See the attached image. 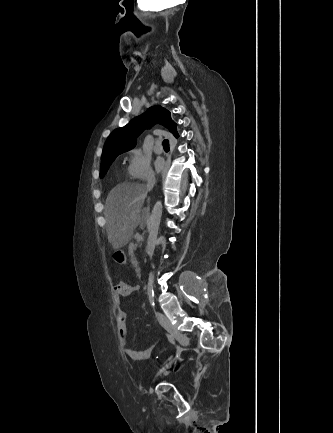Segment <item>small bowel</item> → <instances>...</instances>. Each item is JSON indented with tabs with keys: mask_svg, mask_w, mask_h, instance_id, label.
Returning a JSON list of instances; mask_svg holds the SVG:
<instances>
[{
	"mask_svg": "<svg viewBox=\"0 0 333 433\" xmlns=\"http://www.w3.org/2000/svg\"><path fill=\"white\" fill-rule=\"evenodd\" d=\"M138 290L139 288L137 286L125 282H119L114 287L115 316L117 319L119 342L125 355L132 360L148 359L159 345V342H157L144 351H136L128 346V332L126 328L127 314L121 308V302Z\"/></svg>",
	"mask_w": 333,
	"mask_h": 433,
	"instance_id": "c3829d8e",
	"label": "small bowel"
}]
</instances>
